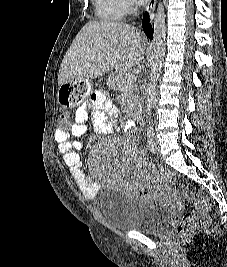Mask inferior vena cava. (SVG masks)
Listing matches in <instances>:
<instances>
[{"label":"inferior vena cava","instance_id":"602c4592","mask_svg":"<svg viewBox=\"0 0 227 267\" xmlns=\"http://www.w3.org/2000/svg\"><path fill=\"white\" fill-rule=\"evenodd\" d=\"M153 132V128H152V119L150 118V122H149V128H148V133Z\"/></svg>","mask_w":227,"mask_h":267}]
</instances>
